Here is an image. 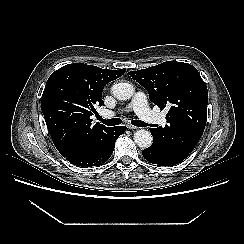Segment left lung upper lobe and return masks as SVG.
Segmentation results:
<instances>
[{
	"mask_svg": "<svg viewBox=\"0 0 244 244\" xmlns=\"http://www.w3.org/2000/svg\"><path fill=\"white\" fill-rule=\"evenodd\" d=\"M129 74L148 90L151 101L161 110L169 108L168 124L152 128L153 144L162 147L166 157L186 158L207 120L208 91L197 69L188 63L167 61Z\"/></svg>",
	"mask_w": 244,
	"mask_h": 244,
	"instance_id": "5c2ea615",
	"label": "left lung upper lobe"
}]
</instances>
